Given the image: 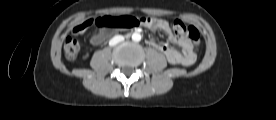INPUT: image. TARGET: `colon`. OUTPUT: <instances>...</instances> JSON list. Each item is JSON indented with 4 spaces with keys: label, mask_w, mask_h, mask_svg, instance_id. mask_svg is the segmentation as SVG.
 <instances>
[{
    "label": "colon",
    "mask_w": 276,
    "mask_h": 120,
    "mask_svg": "<svg viewBox=\"0 0 276 120\" xmlns=\"http://www.w3.org/2000/svg\"><path fill=\"white\" fill-rule=\"evenodd\" d=\"M155 18L143 17L141 23H152ZM95 23L100 28L105 29H128L136 26L139 20L132 16H103L96 20L88 19L75 27L78 33L84 32L90 25ZM173 31L175 36L179 38H187L195 46V49L200 46V35L196 28L188 26L180 20L173 22ZM80 51V45L76 38L68 37L64 44V53L67 59L74 60L77 58Z\"/></svg>",
    "instance_id": "obj_1"
}]
</instances>
